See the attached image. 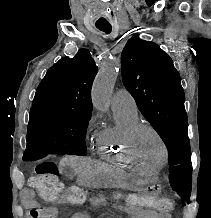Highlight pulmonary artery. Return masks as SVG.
Here are the masks:
<instances>
[{"label":"pulmonary artery","instance_id":"e3ab8cb5","mask_svg":"<svg viewBox=\"0 0 211 218\" xmlns=\"http://www.w3.org/2000/svg\"><path fill=\"white\" fill-rule=\"evenodd\" d=\"M113 108H123L137 112V105L134 97L127 89H119L115 92L112 99Z\"/></svg>","mask_w":211,"mask_h":218}]
</instances>
